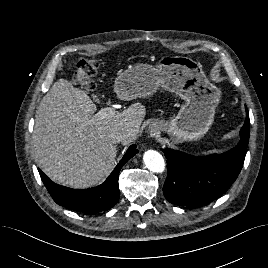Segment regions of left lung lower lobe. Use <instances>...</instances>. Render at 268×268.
<instances>
[{
    "mask_svg": "<svg viewBox=\"0 0 268 268\" xmlns=\"http://www.w3.org/2000/svg\"><path fill=\"white\" fill-rule=\"evenodd\" d=\"M250 120L240 130V141L223 154L195 157L186 153L163 149L167 158V179L163 194L175 205L202 206L225 193L236 180L245 159L250 134Z\"/></svg>",
    "mask_w": 268,
    "mask_h": 268,
    "instance_id": "0a47b994",
    "label": "left lung lower lobe"
}]
</instances>
